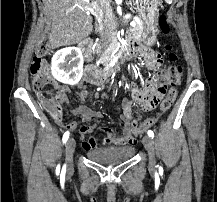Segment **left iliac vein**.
Listing matches in <instances>:
<instances>
[{
  "label": "left iliac vein",
  "instance_id": "obj_1",
  "mask_svg": "<svg viewBox=\"0 0 217 202\" xmlns=\"http://www.w3.org/2000/svg\"><path fill=\"white\" fill-rule=\"evenodd\" d=\"M143 145L148 152L149 165L153 167L155 165L154 141L151 137L144 136L143 137Z\"/></svg>",
  "mask_w": 217,
  "mask_h": 202
}]
</instances>
